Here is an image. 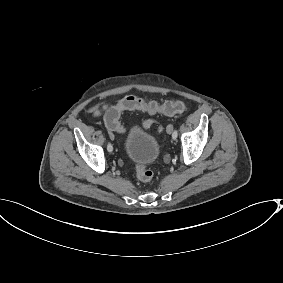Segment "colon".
<instances>
[{
    "instance_id": "5ec220e1",
    "label": "colon",
    "mask_w": 283,
    "mask_h": 283,
    "mask_svg": "<svg viewBox=\"0 0 283 283\" xmlns=\"http://www.w3.org/2000/svg\"><path fill=\"white\" fill-rule=\"evenodd\" d=\"M187 105L183 101H166L163 104L156 102H145L137 97H126L122 99L116 106L107 110L104 116V123L107 129L114 132H122L123 127L120 123V116L126 110H140L150 114L163 113L166 115H173L185 111ZM154 121L148 119L144 122L145 127H150ZM136 176L139 181L148 183L153 180L154 174L145 165L137 164L135 166Z\"/></svg>"
}]
</instances>
